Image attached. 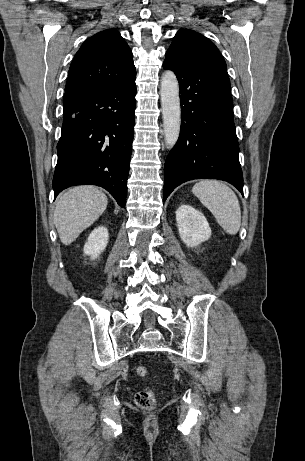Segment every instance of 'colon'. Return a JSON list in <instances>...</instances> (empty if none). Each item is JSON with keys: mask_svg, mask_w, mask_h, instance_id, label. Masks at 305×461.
Returning <instances> with one entry per match:
<instances>
[{"mask_svg": "<svg viewBox=\"0 0 305 461\" xmlns=\"http://www.w3.org/2000/svg\"><path fill=\"white\" fill-rule=\"evenodd\" d=\"M136 374L140 378H146L149 376V370L145 366L136 367ZM135 404L143 410H152L156 406V395L154 390H142L135 395Z\"/></svg>", "mask_w": 305, "mask_h": 461, "instance_id": "1", "label": "colon"}]
</instances>
